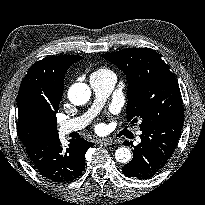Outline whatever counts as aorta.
<instances>
[{"label":"aorta","instance_id":"762f6f07","mask_svg":"<svg viewBox=\"0 0 205 205\" xmlns=\"http://www.w3.org/2000/svg\"><path fill=\"white\" fill-rule=\"evenodd\" d=\"M90 96V87L85 83H74L68 91L70 102L77 106L86 104L89 101ZM131 158V151L126 147H120L115 151V159L119 163L126 164Z\"/></svg>","mask_w":205,"mask_h":205}]
</instances>
